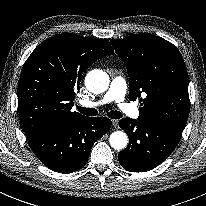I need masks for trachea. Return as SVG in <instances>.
Returning a JSON list of instances; mask_svg holds the SVG:
<instances>
[{
	"instance_id": "3493384b",
	"label": "trachea",
	"mask_w": 206,
	"mask_h": 206,
	"mask_svg": "<svg viewBox=\"0 0 206 206\" xmlns=\"http://www.w3.org/2000/svg\"><path fill=\"white\" fill-rule=\"evenodd\" d=\"M77 109L80 113L86 116L93 117V116L98 115V111L94 108H86V107L77 106ZM107 115L111 119H120L122 117V114L119 111H110L107 113Z\"/></svg>"
}]
</instances>
